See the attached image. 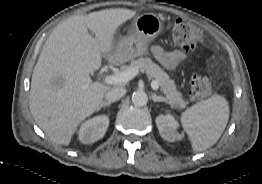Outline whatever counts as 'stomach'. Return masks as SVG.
<instances>
[{
    "label": "stomach",
    "instance_id": "0dacf381",
    "mask_svg": "<svg viewBox=\"0 0 262 184\" xmlns=\"http://www.w3.org/2000/svg\"><path fill=\"white\" fill-rule=\"evenodd\" d=\"M162 30V20L156 14L138 15L132 23L131 35L117 43L114 57L119 60H128L146 54L148 46Z\"/></svg>",
    "mask_w": 262,
    "mask_h": 184
}]
</instances>
